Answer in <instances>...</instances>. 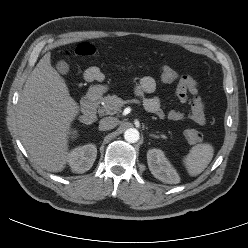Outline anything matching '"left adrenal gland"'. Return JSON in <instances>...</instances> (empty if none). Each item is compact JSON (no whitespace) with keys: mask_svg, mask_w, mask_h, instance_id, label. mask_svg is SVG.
<instances>
[{"mask_svg":"<svg viewBox=\"0 0 248 248\" xmlns=\"http://www.w3.org/2000/svg\"><path fill=\"white\" fill-rule=\"evenodd\" d=\"M149 136L154 137V138H159V136H157L155 134H150Z\"/></svg>","mask_w":248,"mask_h":248,"instance_id":"left-adrenal-gland-1","label":"left adrenal gland"}]
</instances>
